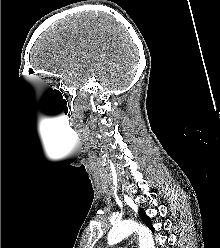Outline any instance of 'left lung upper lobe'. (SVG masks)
<instances>
[{
	"label": "left lung upper lobe",
	"mask_w": 220,
	"mask_h": 248,
	"mask_svg": "<svg viewBox=\"0 0 220 248\" xmlns=\"http://www.w3.org/2000/svg\"><path fill=\"white\" fill-rule=\"evenodd\" d=\"M140 217L144 221L146 226L149 227L152 231H154V228L152 226V222H151L150 218L145 214L144 209L140 210Z\"/></svg>",
	"instance_id": "5c2ea615"
}]
</instances>
